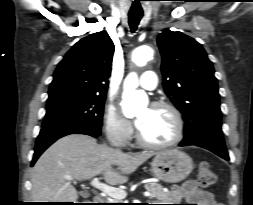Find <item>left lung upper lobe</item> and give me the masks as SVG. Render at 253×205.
Segmentation results:
<instances>
[{
  "mask_svg": "<svg viewBox=\"0 0 253 205\" xmlns=\"http://www.w3.org/2000/svg\"><path fill=\"white\" fill-rule=\"evenodd\" d=\"M157 43L165 92L185 121L182 142L222 135L218 86L205 50L193 38L170 30L159 34Z\"/></svg>",
  "mask_w": 253,
  "mask_h": 205,
  "instance_id": "1",
  "label": "left lung upper lobe"
}]
</instances>
